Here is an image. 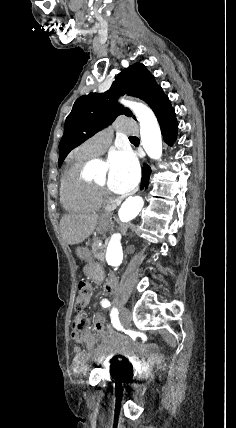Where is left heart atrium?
Listing matches in <instances>:
<instances>
[{"label": "left heart atrium", "instance_id": "1", "mask_svg": "<svg viewBox=\"0 0 236 428\" xmlns=\"http://www.w3.org/2000/svg\"><path fill=\"white\" fill-rule=\"evenodd\" d=\"M109 188L116 194L131 192L139 181V165L128 150L119 149L111 153L108 159Z\"/></svg>", "mask_w": 236, "mask_h": 428}]
</instances>
